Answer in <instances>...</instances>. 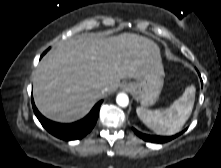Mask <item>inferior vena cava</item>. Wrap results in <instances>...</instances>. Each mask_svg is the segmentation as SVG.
Segmentation results:
<instances>
[{
	"instance_id": "602c4592",
	"label": "inferior vena cava",
	"mask_w": 221,
	"mask_h": 168,
	"mask_svg": "<svg viewBox=\"0 0 221 168\" xmlns=\"http://www.w3.org/2000/svg\"><path fill=\"white\" fill-rule=\"evenodd\" d=\"M107 92H108V88H107V87H105V88L102 89V93H103V94H105V93H107Z\"/></svg>"
}]
</instances>
